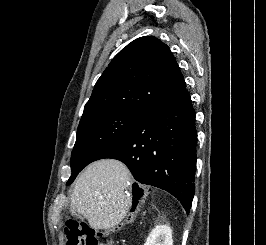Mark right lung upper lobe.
<instances>
[{"instance_id":"right-lung-upper-lobe-1","label":"right lung upper lobe","mask_w":266,"mask_h":245,"mask_svg":"<svg viewBox=\"0 0 266 245\" xmlns=\"http://www.w3.org/2000/svg\"><path fill=\"white\" fill-rule=\"evenodd\" d=\"M184 77L169 47L153 36L122 49L95 84L83 116L104 110L146 113L185 88Z\"/></svg>"}]
</instances>
